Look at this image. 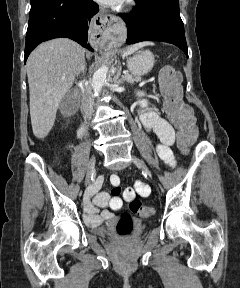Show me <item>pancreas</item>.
Segmentation results:
<instances>
[{
	"label": "pancreas",
	"instance_id": "cf45deb5",
	"mask_svg": "<svg viewBox=\"0 0 240 288\" xmlns=\"http://www.w3.org/2000/svg\"><path fill=\"white\" fill-rule=\"evenodd\" d=\"M123 79L128 83H134V82L139 80V77H134V76L128 74V75L124 76Z\"/></svg>",
	"mask_w": 240,
	"mask_h": 288
}]
</instances>
